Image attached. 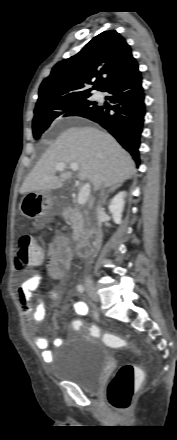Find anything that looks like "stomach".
I'll use <instances>...</instances> for the list:
<instances>
[{
    "label": "stomach",
    "instance_id": "0dacf381",
    "mask_svg": "<svg viewBox=\"0 0 177 440\" xmlns=\"http://www.w3.org/2000/svg\"><path fill=\"white\" fill-rule=\"evenodd\" d=\"M21 214L39 223H47L59 212L58 205L47 191L28 192L21 199Z\"/></svg>",
    "mask_w": 177,
    "mask_h": 440
}]
</instances>
